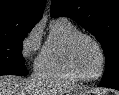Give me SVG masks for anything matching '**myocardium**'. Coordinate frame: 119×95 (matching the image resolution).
<instances>
[{
  "label": "myocardium",
  "mask_w": 119,
  "mask_h": 95,
  "mask_svg": "<svg viewBox=\"0 0 119 95\" xmlns=\"http://www.w3.org/2000/svg\"><path fill=\"white\" fill-rule=\"evenodd\" d=\"M81 39H88L92 41L96 45L97 49L99 50L101 56V66L98 74L95 76L92 77L84 76L80 74L75 67L74 60H73L74 49L78 41ZM65 61L68 69L77 79L82 81H94L99 79L104 73L105 66H106V55L101 43L95 37L86 33L79 32L75 34L67 43L66 50H65Z\"/></svg>",
  "instance_id": "f54148a6"
}]
</instances>
